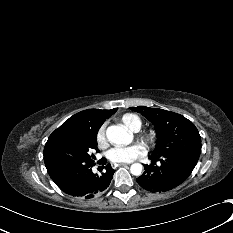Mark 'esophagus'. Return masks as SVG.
<instances>
[{
    "mask_svg": "<svg viewBox=\"0 0 233 233\" xmlns=\"http://www.w3.org/2000/svg\"><path fill=\"white\" fill-rule=\"evenodd\" d=\"M127 165L126 163H120L119 166H125Z\"/></svg>",
    "mask_w": 233,
    "mask_h": 233,
    "instance_id": "esophagus-1",
    "label": "esophagus"
}]
</instances>
